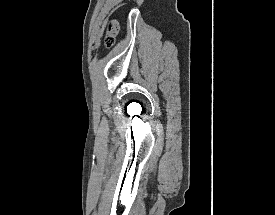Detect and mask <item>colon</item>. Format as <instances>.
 <instances>
[{
  "label": "colon",
  "instance_id": "colon-1",
  "mask_svg": "<svg viewBox=\"0 0 275 215\" xmlns=\"http://www.w3.org/2000/svg\"><path fill=\"white\" fill-rule=\"evenodd\" d=\"M118 33V23L115 20H111L107 25V34L105 37V46L111 47L114 44L115 36Z\"/></svg>",
  "mask_w": 275,
  "mask_h": 215
}]
</instances>
